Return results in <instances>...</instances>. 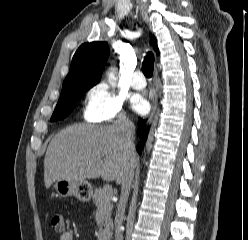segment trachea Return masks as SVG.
Masks as SVG:
<instances>
[{
    "instance_id": "obj_1",
    "label": "trachea",
    "mask_w": 248,
    "mask_h": 240,
    "mask_svg": "<svg viewBox=\"0 0 248 240\" xmlns=\"http://www.w3.org/2000/svg\"><path fill=\"white\" fill-rule=\"evenodd\" d=\"M154 70V55L148 52L142 62V72L147 78H151Z\"/></svg>"
}]
</instances>
